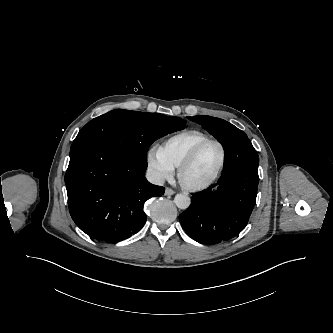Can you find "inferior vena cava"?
<instances>
[{"label":"inferior vena cava","instance_id":"inferior-vena-cava-1","mask_svg":"<svg viewBox=\"0 0 333 333\" xmlns=\"http://www.w3.org/2000/svg\"><path fill=\"white\" fill-rule=\"evenodd\" d=\"M146 178L152 184H155V185H163L164 184L163 177L156 170L148 169L147 172H146Z\"/></svg>","mask_w":333,"mask_h":333}]
</instances>
